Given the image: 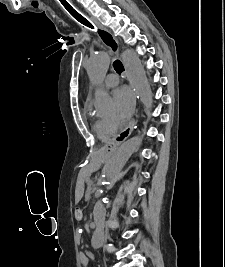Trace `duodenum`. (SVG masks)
Listing matches in <instances>:
<instances>
[{"label":"duodenum","mask_w":225,"mask_h":267,"mask_svg":"<svg viewBox=\"0 0 225 267\" xmlns=\"http://www.w3.org/2000/svg\"><path fill=\"white\" fill-rule=\"evenodd\" d=\"M91 227H92V228H96V227H97V222H96V221H93V222L91 223Z\"/></svg>","instance_id":"obj_1"}]
</instances>
